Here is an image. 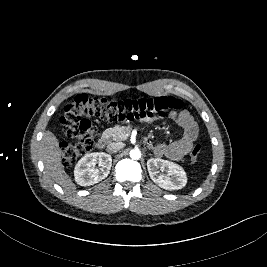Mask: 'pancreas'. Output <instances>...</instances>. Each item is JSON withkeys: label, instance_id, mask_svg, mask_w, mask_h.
Segmentation results:
<instances>
[{"label": "pancreas", "instance_id": "pancreas-1", "mask_svg": "<svg viewBox=\"0 0 267 267\" xmlns=\"http://www.w3.org/2000/svg\"><path fill=\"white\" fill-rule=\"evenodd\" d=\"M131 128L124 126H116L114 128H108L104 131L103 136L107 139L115 141H124L128 138Z\"/></svg>", "mask_w": 267, "mask_h": 267}]
</instances>
